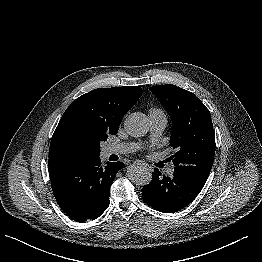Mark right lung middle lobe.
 <instances>
[{"mask_svg":"<svg viewBox=\"0 0 262 262\" xmlns=\"http://www.w3.org/2000/svg\"><path fill=\"white\" fill-rule=\"evenodd\" d=\"M110 133L103 128L83 124L74 129L68 137L67 146L77 152L79 158L99 156L100 143L107 140Z\"/></svg>","mask_w":262,"mask_h":262,"instance_id":"dd1d6c3e","label":"right lung middle lobe"}]
</instances>
